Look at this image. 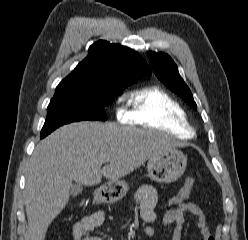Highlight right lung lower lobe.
<instances>
[{
  "label": "right lung lower lobe",
  "instance_id": "1",
  "mask_svg": "<svg viewBox=\"0 0 248 240\" xmlns=\"http://www.w3.org/2000/svg\"><path fill=\"white\" fill-rule=\"evenodd\" d=\"M44 137H45V136H42V135L40 136L41 139L44 138Z\"/></svg>",
  "mask_w": 248,
  "mask_h": 240
}]
</instances>
